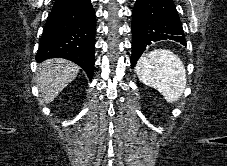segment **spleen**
<instances>
[{
  "instance_id": "3e777b00",
  "label": "spleen",
  "mask_w": 227,
  "mask_h": 166,
  "mask_svg": "<svg viewBox=\"0 0 227 166\" xmlns=\"http://www.w3.org/2000/svg\"><path fill=\"white\" fill-rule=\"evenodd\" d=\"M139 80L156 89L168 103L179 100L186 87V70L181 59L165 49L143 54L137 62Z\"/></svg>"
}]
</instances>
